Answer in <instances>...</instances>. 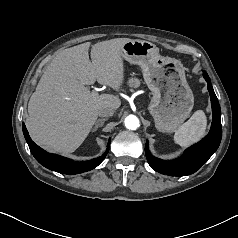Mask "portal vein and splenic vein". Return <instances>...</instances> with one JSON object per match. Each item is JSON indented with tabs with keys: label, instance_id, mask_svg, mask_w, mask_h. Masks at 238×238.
<instances>
[{
	"label": "portal vein and splenic vein",
	"instance_id": "obj_1",
	"mask_svg": "<svg viewBox=\"0 0 238 238\" xmlns=\"http://www.w3.org/2000/svg\"><path fill=\"white\" fill-rule=\"evenodd\" d=\"M96 94H98V92L97 91H94Z\"/></svg>",
	"mask_w": 238,
	"mask_h": 238
}]
</instances>
